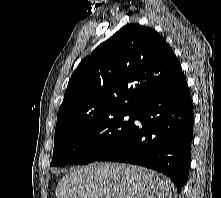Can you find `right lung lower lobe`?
I'll use <instances>...</instances> for the list:
<instances>
[{"label":"right lung lower lobe","mask_w":221,"mask_h":198,"mask_svg":"<svg viewBox=\"0 0 221 198\" xmlns=\"http://www.w3.org/2000/svg\"><path fill=\"white\" fill-rule=\"evenodd\" d=\"M142 127L129 133L96 161L142 165L167 175L178 193L187 181L193 138V109L189 88L182 74L135 114Z\"/></svg>","instance_id":"right-lung-lower-lobe-1"}]
</instances>
